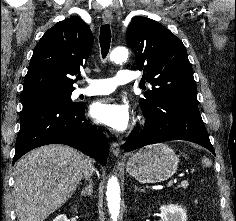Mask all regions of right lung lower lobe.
I'll list each match as a JSON object with an SVG mask.
<instances>
[{
  "label": "right lung lower lobe",
  "mask_w": 236,
  "mask_h": 221,
  "mask_svg": "<svg viewBox=\"0 0 236 221\" xmlns=\"http://www.w3.org/2000/svg\"><path fill=\"white\" fill-rule=\"evenodd\" d=\"M84 103L36 102L23 105L13 164L28 151L48 144H66L105 165L106 136L85 119Z\"/></svg>",
  "instance_id": "98d812e1"
}]
</instances>
